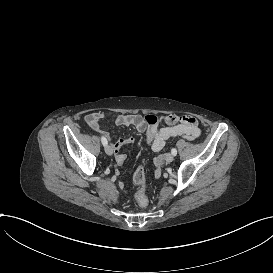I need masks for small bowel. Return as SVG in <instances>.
Segmentation results:
<instances>
[{
  "instance_id": "1",
  "label": "small bowel",
  "mask_w": 273,
  "mask_h": 273,
  "mask_svg": "<svg viewBox=\"0 0 273 273\" xmlns=\"http://www.w3.org/2000/svg\"><path fill=\"white\" fill-rule=\"evenodd\" d=\"M105 115L101 112H93L85 117V122L90 129L98 133L112 148L117 164L123 165L126 161L125 154L121 153V148L126 144L134 142L132 136L113 138L108 132L102 130L101 122ZM114 122L119 126L134 127L138 132L145 133L147 142L154 152L161 151L169 139L174 137H183L187 140L198 138L201 131L198 127L197 120L187 115H166L160 117V123L157 126L149 127L145 124L144 117L140 114H115ZM166 154L161 153L156 157L154 173H159L160 160L165 158ZM163 162V161H162ZM135 175V174H134ZM160 175L158 176L159 179ZM157 179V180H158ZM138 187L144 185L145 180L135 179ZM158 184V183H157ZM125 187L130 188L133 185L132 180L127 179L124 182ZM119 188L123 187L122 183L118 184ZM122 192V190H121ZM125 195V194H124ZM127 198V196H126Z\"/></svg>"
}]
</instances>
